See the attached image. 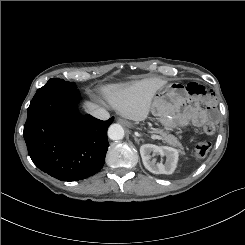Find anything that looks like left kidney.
Returning a JSON list of instances; mask_svg holds the SVG:
<instances>
[{
	"label": "left kidney",
	"mask_w": 245,
	"mask_h": 245,
	"mask_svg": "<svg viewBox=\"0 0 245 245\" xmlns=\"http://www.w3.org/2000/svg\"><path fill=\"white\" fill-rule=\"evenodd\" d=\"M140 154L143 164L147 170L154 174H172L177 166L179 152L178 150L167 146H156L153 144H144L140 147ZM151 154L166 157L165 163L151 160Z\"/></svg>",
	"instance_id": "left-kidney-1"
}]
</instances>
